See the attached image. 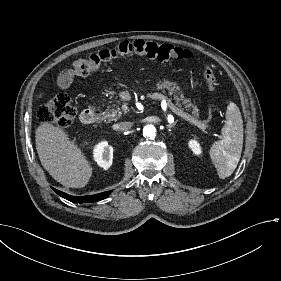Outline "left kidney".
Wrapping results in <instances>:
<instances>
[{"label":"left kidney","instance_id":"1","mask_svg":"<svg viewBox=\"0 0 281 281\" xmlns=\"http://www.w3.org/2000/svg\"><path fill=\"white\" fill-rule=\"evenodd\" d=\"M189 147L192 149V151L196 154H199L201 152L200 150V146H199V143L197 141H190L189 142Z\"/></svg>","mask_w":281,"mask_h":281}]
</instances>
